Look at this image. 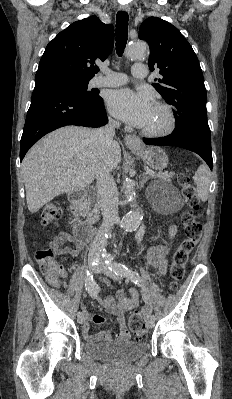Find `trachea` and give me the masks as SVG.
Returning <instances> with one entry per match:
<instances>
[{
	"label": "trachea",
	"instance_id": "3493384b",
	"mask_svg": "<svg viewBox=\"0 0 232 399\" xmlns=\"http://www.w3.org/2000/svg\"><path fill=\"white\" fill-rule=\"evenodd\" d=\"M128 38V13L120 11L116 16V52L122 56Z\"/></svg>",
	"mask_w": 232,
	"mask_h": 399
}]
</instances>
